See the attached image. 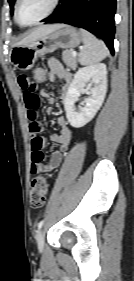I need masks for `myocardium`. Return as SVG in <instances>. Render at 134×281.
<instances>
[{
    "mask_svg": "<svg viewBox=\"0 0 134 281\" xmlns=\"http://www.w3.org/2000/svg\"><path fill=\"white\" fill-rule=\"evenodd\" d=\"M60 1L61 0H53L50 9L41 18H39L38 20H36L32 23L24 24L20 21L19 16H18V8H19V4H20L21 0H16L15 6H14V19L17 22V24L20 25L21 27L36 26V25L40 24L41 22H43L44 20H46L48 17H50L57 10V8L60 5Z\"/></svg>",
    "mask_w": 134,
    "mask_h": 281,
    "instance_id": "myocardium-1",
    "label": "myocardium"
}]
</instances>
